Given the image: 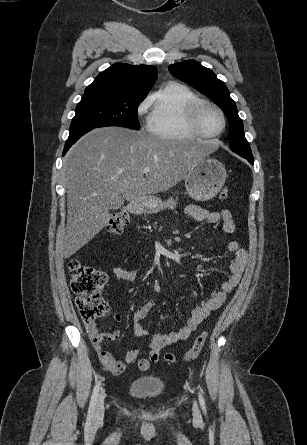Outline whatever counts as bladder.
<instances>
[{"instance_id":"31cf9c89","label":"bladder","mask_w":307,"mask_h":445,"mask_svg":"<svg viewBox=\"0 0 307 445\" xmlns=\"http://www.w3.org/2000/svg\"><path fill=\"white\" fill-rule=\"evenodd\" d=\"M165 390L164 381L154 375L135 378L129 385V393L138 399H150L160 396Z\"/></svg>"}]
</instances>
